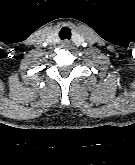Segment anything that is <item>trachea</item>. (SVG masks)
<instances>
[{
	"label": "trachea",
	"mask_w": 135,
	"mask_h": 165,
	"mask_svg": "<svg viewBox=\"0 0 135 165\" xmlns=\"http://www.w3.org/2000/svg\"><path fill=\"white\" fill-rule=\"evenodd\" d=\"M59 36L61 40H70L71 30L68 27H63L59 32Z\"/></svg>",
	"instance_id": "trachea-1"
}]
</instances>
